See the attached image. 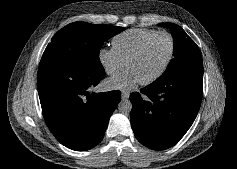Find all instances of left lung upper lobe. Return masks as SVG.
I'll list each match as a JSON object with an SVG mask.
<instances>
[{"label":"left lung upper lobe","instance_id":"5c2ea615","mask_svg":"<svg viewBox=\"0 0 237 169\" xmlns=\"http://www.w3.org/2000/svg\"><path fill=\"white\" fill-rule=\"evenodd\" d=\"M160 26L168 27L171 31L174 42V57L166 71L157 80L176 77L194 70H203L201 52L185 31L173 23H167V25L161 23Z\"/></svg>","mask_w":237,"mask_h":169}]
</instances>
